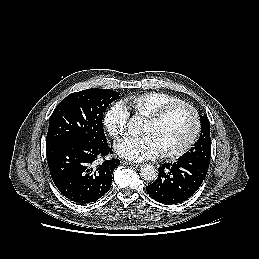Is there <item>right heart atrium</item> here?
Wrapping results in <instances>:
<instances>
[{"mask_svg":"<svg viewBox=\"0 0 259 259\" xmlns=\"http://www.w3.org/2000/svg\"><path fill=\"white\" fill-rule=\"evenodd\" d=\"M129 116V111L121 101L113 103L107 109L103 117V125L110 136L117 139L125 133Z\"/></svg>","mask_w":259,"mask_h":259,"instance_id":"d8ad5b80","label":"right heart atrium"}]
</instances>
